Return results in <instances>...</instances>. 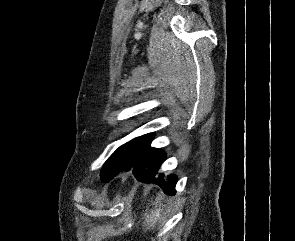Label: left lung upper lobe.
<instances>
[{
    "label": "left lung upper lobe",
    "instance_id": "left-lung-upper-lobe-1",
    "mask_svg": "<svg viewBox=\"0 0 295 241\" xmlns=\"http://www.w3.org/2000/svg\"><path fill=\"white\" fill-rule=\"evenodd\" d=\"M152 138V134H147L120 146L105 163L101 171V180L109 182L124 167L140 157L150 147Z\"/></svg>",
    "mask_w": 295,
    "mask_h": 241
}]
</instances>
